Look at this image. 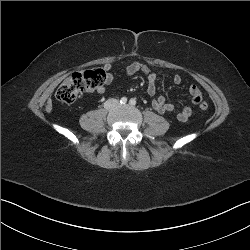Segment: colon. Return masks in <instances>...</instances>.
<instances>
[{"label": "colon", "mask_w": 250, "mask_h": 250, "mask_svg": "<svg viewBox=\"0 0 250 250\" xmlns=\"http://www.w3.org/2000/svg\"><path fill=\"white\" fill-rule=\"evenodd\" d=\"M105 73L100 69L85 70L74 73L64 80L56 91V98L63 103H73L80 94L92 92L105 83ZM208 103L199 105L201 111L208 109Z\"/></svg>", "instance_id": "5ec220e1"}]
</instances>
